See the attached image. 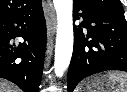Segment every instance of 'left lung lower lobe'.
<instances>
[{"label":"left lung lower lobe","instance_id":"1","mask_svg":"<svg viewBox=\"0 0 127 92\" xmlns=\"http://www.w3.org/2000/svg\"><path fill=\"white\" fill-rule=\"evenodd\" d=\"M81 12V13H79ZM74 48L68 70V92L90 75L107 70L127 71V22L124 16L74 4ZM85 28V29H84Z\"/></svg>","mask_w":127,"mask_h":92}]
</instances>
